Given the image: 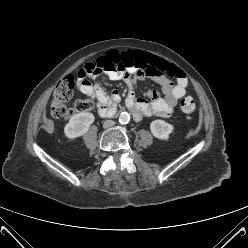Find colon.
<instances>
[{
	"instance_id": "colon-1",
	"label": "colon",
	"mask_w": 248,
	"mask_h": 248,
	"mask_svg": "<svg viewBox=\"0 0 248 248\" xmlns=\"http://www.w3.org/2000/svg\"><path fill=\"white\" fill-rule=\"evenodd\" d=\"M131 63L123 55L117 52L108 53L91 61L86 67V72L101 73L103 71H124L128 72ZM74 79L71 76L62 78L55 86L53 100L51 103V114L54 118H70L76 113L88 112L93 109L94 103L91 99H78L71 108L65 106V102L73 95ZM195 101L187 96L181 99L179 108L186 115L187 120L195 110Z\"/></svg>"
}]
</instances>
